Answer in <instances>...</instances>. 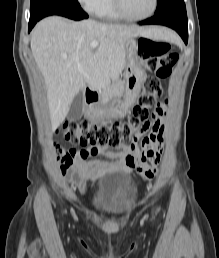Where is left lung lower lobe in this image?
Returning a JSON list of instances; mask_svg holds the SVG:
<instances>
[{
    "label": "left lung lower lobe",
    "mask_w": 219,
    "mask_h": 258,
    "mask_svg": "<svg viewBox=\"0 0 219 258\" xmlns=\"http://www.w3.org/2000/svg\"><path fill=\"white\" fill-rule=\"evenodd\" d=\"M140 25L157 24L168 26L176 30L184 40L188 42V20L186 10H170L154 17L139 22Z\"/></svg>",
    "instance_id": "obj_1"
}]
</instances>
